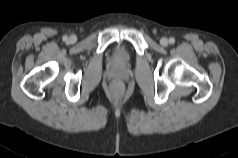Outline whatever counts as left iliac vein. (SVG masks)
<instances>
[{
	"instance_id": "left-iliac-vein-1",
	"label": "left iliac vein",
	"mask_w": 238,
	"mask_h": 158,
	"mask_svg": "<svg viewBox=\"0 0 238 158\" xmlns=\"http://www.w3.org/2000/svg\"><path fill=\"white\" fill-rule=\"evenodd\" d=\"M160 44H161L162 46H168L169 41H168L167 38H161Z\"/></svg>"
}]
</instances>
